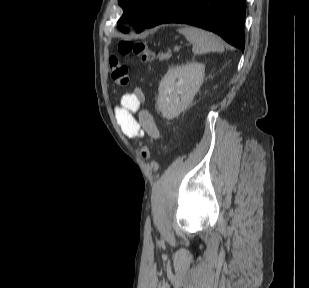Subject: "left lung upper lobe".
Instances as JSON below:
<instances>
[{"mask_svg": "<svg viewBox=\"0 0 309 288\" xmlns=\"http://www.w3.org/2000/svg\"><path fill=\"white\" fill-rule=\"evenodd\" d=\"M167 0H119L124 13L118 23L131 22L138 32L142 31L149 20L160 10ZM124 33L129 30L117 26Z\"/></svg>", "mask_w": 309, "mask_h": 288, "instance_id": "obj_1", "label": "left lung upper lobe"}]
</instances>
